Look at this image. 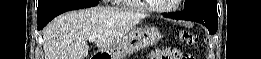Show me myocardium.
<instances>
[{
	"label": "myocardium",
	"instance_id": "myocardium-1",
	"mask_svg": "<svg viewBox=\"0 0 261 59\" xmlns=\"http://www.w3.org/2000/svg\"><path fill=\"white\" fill-rule=\"evenodd\" d=\"M181 2H182V0H176L175 4L170 7L155 6L151 3H149V1H142V4H143L144 8L148 11H152V12H156V13H169V12H172V11H175L176 9H178Z\"/></svg>",
	"mask_w": 261,
	"mask_h": 59
}]
</instances>
